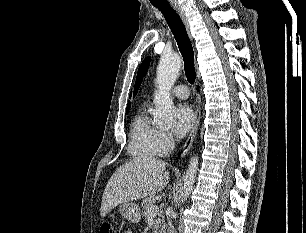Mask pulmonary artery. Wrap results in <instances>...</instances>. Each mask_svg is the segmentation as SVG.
<instances>
[{
  "label": "pulmonary artery",
  "instance_id": "obj_1",
  "mask_svg": "<svg viewBox=\"0 0 306 233\" xmlns=\"http://www.w3.org/2000/svg\"><path fill=\"white\" fill-rule=\"evenodd\" d=\"M172 93L179 99H186L189 96V89L186 85L180 84L173 88Z\"/></svg>",
  "mask_w": 306,
  "mask_h": 233
}]
</instances>
